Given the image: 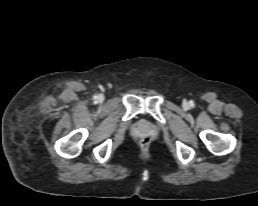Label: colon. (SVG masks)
<instances>
[{
	"mask_svg": "<svg viewBox=\"0 0 258 206\" xmlns=\"http://www.w3.org/2000/svg\"><path fill=\"white\" fill-rule=\"evenodd\" d=\"M149 143H150L149 138H143L141 140V146L144 147V148L148 147Z\"/></svg>",
	"mask_w": 258,
	"mask_h": 206,
	"instance_id": "5ec220e1",
	"label": "colon"
}]
</instances>
